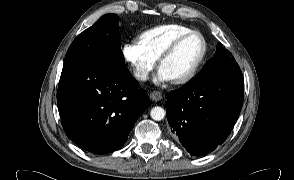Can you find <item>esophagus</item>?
Here are the masks:
<instances>
[{
    "label": "esophagus",
    "instance_id": "34e87169",
    "mask_svg": "<svg viewBox=\"0 0 294 180\" xmlns=\"http://www.w3.org/2000/svg\"><path fill=\"white\" fill-rule=\"evenodd\" d=\"M149 96L154 101H159L162 99V93L160 91H152Z\"/></svg>",
    "mask_w": 294,
    "mask_h": 180
}]
</instances>
